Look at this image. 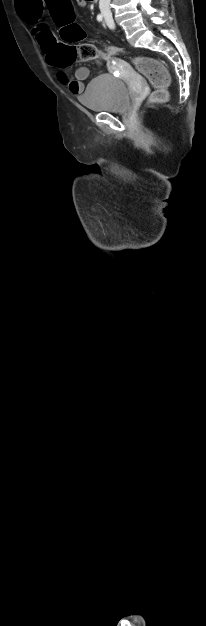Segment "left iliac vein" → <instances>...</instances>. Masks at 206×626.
Here are the masks:
<instances>
[{"label": "left iliac vein", "mask_w": 206, "mask_h": 626, "mask_svg": "<svg viewBox=\"0 0 206 626\" xmlns=\"http://www.w3.org/2000/svg\"><path fill=\"white\" fill-rule=\"evenodd\" d=\"M107 25L109 26V28L114 29L115 28V23L112 19L107 21Z\"/></svg>", "instance_id": "4c4485c4"}]
</instances>
